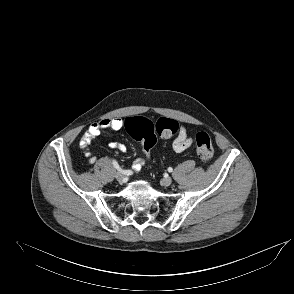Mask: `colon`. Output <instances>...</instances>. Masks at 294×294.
Segmentation results:
<instances>
[{"instance_id":"5ec220e1","label":"colon","mask_w":294,"mask_h":294,"mask_svg":"<svg viewBox=\"0 0 294 294\" xmlns=\"http://www.w3.org/2000/svg\"><path fill=\"white\" fill-rule=\"evenodd\" d=\"M126 128L129 134L141 142L145 154L149 157L157 141V135L170 137L179 131L177 121L168 118L159 119L155 124L150 120L141 117L127 118ZM197 156L202 161H209L214 155V148L209 135L205 132H198L195 135Z\"/></svg>"}]
</instances>
